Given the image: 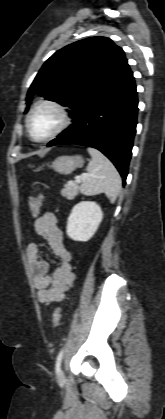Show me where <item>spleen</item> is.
Masks as SVG:
<instances>
[{"instance_id":"spleen-1","label":"spleen","mask_w":165,"mask_h":419,"mask_svg":"<svg viewBox=\"0 0 165 419\" xmlns=\"http://www.w3.org/2000/svg\"><path fill=\"white\" fill-rule=\"evenodd\" d=\"M87 150L92 160L87 166L88 177L81 184V192L87 196L105 193L110 202L114 203L121 191L119 173L99 150L91 147Z\"/></svg>"}]
</instances>
